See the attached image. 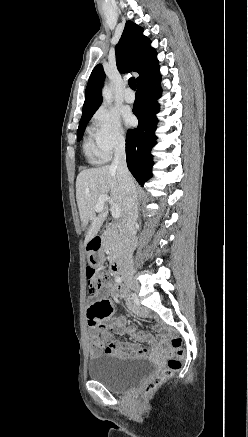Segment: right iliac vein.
<instances>
[{"label":"right iliac vein","mask_w":248,"mask_h":437,"mask_svg":"<svg viewBox=\"0 0 248 437\" xmlns=\"http://www.w3.org/2000/svg\"><path fill=\"white\" fill-rule=\"evenodd\" d=\"M125 281H126L127 285H128L130 288L134 289L135 291H138V290H139V284H138V282L133 278V276H131V275H126V276H125Z\"/></svg>","instance_id":"right-iliac-vein-1"}]
</instances>
